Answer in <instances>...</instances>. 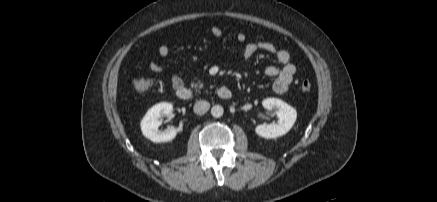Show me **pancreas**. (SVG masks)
Here are the masks:
<instances>
[{
	"label": "pancreas",
	"mask_w": 437,
	"mask_h": 202,
	"mask_svg": "<svg viewBox=\"0 0 437 202\" xmlns=\"http://www.w3.org/2000/svg\"><path fill=\"white\" fill-rule=\"evenodd\" d=\"M191 87L198 90V89H202L203 88V84L199 81L198 83H192Z\"/></svg>",
	"instance_id": "obj_1"
}]
</instances>
